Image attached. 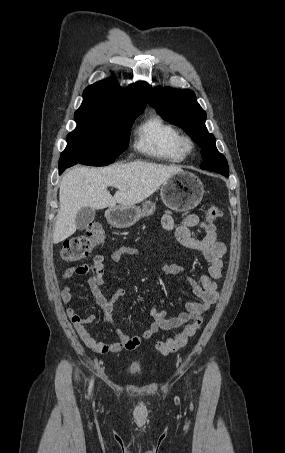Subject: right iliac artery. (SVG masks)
<instances>
[{"label": "right iliac artery", "instance_id": "1", "mask_svg": "<svg viewBox=\"0 0 285 453\" xmlns=\"http://www.w3.org/2000/svg\"><path fill=\"white\" fill-rule=\"evenodd\" d=\"M92 387H93V380H91V382H90L89 393L91 392Z\"/></svg>", "mask_w": 285, "mask_h": 453}]
</instances>
